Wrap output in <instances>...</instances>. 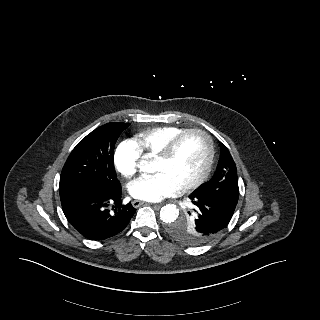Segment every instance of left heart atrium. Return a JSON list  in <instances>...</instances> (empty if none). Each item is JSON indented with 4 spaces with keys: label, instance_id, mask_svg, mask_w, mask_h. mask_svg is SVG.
I'll list each match as a JSON object with an SVG mask.
<instances>
[{
    "label": "left heart atrium",
    "instance_id": "39dd6f15",
    "mask_svg": "<svg viewBox=\"0 0 320 320\" xmlns=\"http://www.w3.org/2000/svg\"><path fill=\"white\" fill-rule=\"evenodd\" d=\"M179 191V186L166 174L158 173L151 177H141L129 186L130 195L138 200L159 201L173 196Z\"/></svg>",
    "mask_w": 320,
    "mask_h": 320
}]
</instances>
